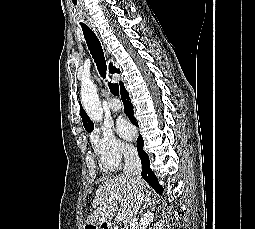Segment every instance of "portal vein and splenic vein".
<instances>
[{"label":"portal vein and splenic vein","instance_id":"18ae733b","mask_svg":"<svg viewBox=\"0 0 255 229\" xmlns=\"http://www.w3.org/2000/svg\"><path fill=\"white\" fill-rule=\"evenodd\" d=\"M114 199H120V196H112L111 198L108 199V201L110 202L111 200H114ZM117 220H118V221H123V220H124V214H123V212H118V214H117Z\"/></svg>","mask_w":255,"mask_h":229}]
</instances>
